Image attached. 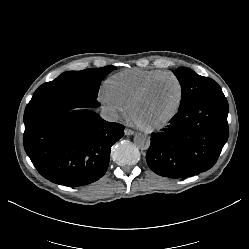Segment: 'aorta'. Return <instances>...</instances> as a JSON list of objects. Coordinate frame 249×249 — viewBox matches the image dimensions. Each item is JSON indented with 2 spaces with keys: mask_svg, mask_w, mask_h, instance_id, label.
I'll list each match as a JSON object with an SVG mask.
<instances>
[{
  "mask_svg": "<svg viewBox=\"0 0 249 249\" xmlns=\"http://www.w3.org/2000/svg\"><path fill=\"white\" fill-rule=\"evenodd\" d=\"M134 144L141 150H147L150 146V137L146 134L138 133L134 136Z\"/></svg>",
  "mask_w": 249,
  "mask_h": 249,
  "instance_id": "obj_1",
  "label": "aorta"
}]
</instances>
